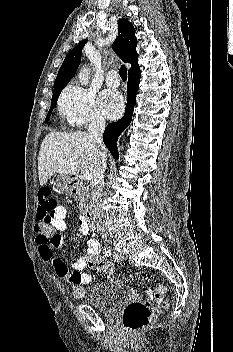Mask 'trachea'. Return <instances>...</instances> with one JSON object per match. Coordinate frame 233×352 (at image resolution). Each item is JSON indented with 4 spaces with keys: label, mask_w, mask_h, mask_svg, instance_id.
I'll list each match as a JSON object with an SVG mask.
<instances>
[{
    "label": "trachea",
    "mask_w": 233,
    "mask_h": 352,
    "mask_svg": "<svg viewBox=\"0 0 233 352\" xmlns=\"http://www.w3.org/2000/svg\"><path fill=\"white\" fill-rule=\"evenodd\" d=\"M119 75L122 78V80H126L127 79V69L124 65H122L119 69Z\"/></svg>",
    "instance_id": "trachea-1"
}]
</instances>
